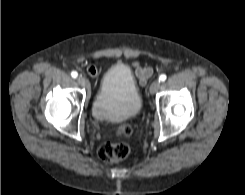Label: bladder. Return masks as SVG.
<instances>
[{
	"label": "bladder",
	"mask_w": 245,
	"mask_h": 195,
	"mask_svg": "<svg viewBox=\"0 0 245 195\" xmlns=\"http://www.w3.org/2000/svg\"><path fill=\"white\" fill-rule=\"evenodd\" d=\"M142 98L130 68L117 63L103 75L92 103V115L99 122H123L138 115Z\"/></svg>",
	"instance_id": "31cf9c89"
}]
</instances>
